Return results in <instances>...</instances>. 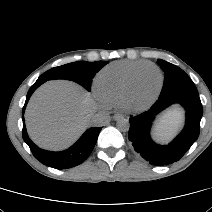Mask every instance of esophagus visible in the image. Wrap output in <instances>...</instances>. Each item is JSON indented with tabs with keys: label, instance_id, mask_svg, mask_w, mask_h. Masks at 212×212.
Here are the masks:
<instances>
[{
	"label": "esophagus",
	"instance_id": "1",
	"mask_svg": "<svg viewBox=\"0 0 212 212\" xmlns=\"http://www.w3.org/2000/svg\"><path fill=\"white\" fill-rule=\"evenodd\" d=\"M123 117L124 116L122 114H120V113H115L113 115V119L116 120V121L123 119Z\"/></svg>",
	"mask_w": 212,
	"mask_h": 212
}]
</instances>
